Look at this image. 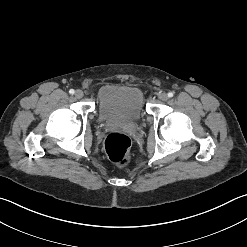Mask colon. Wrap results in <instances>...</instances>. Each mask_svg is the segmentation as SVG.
Wrapping results in <instances>:
<instances>
[{
    "instance_id": "5ec220e1",
    "label": "colon",
    "mask_w": 247,
    "mask_h": 247,
    "mask_svg": "<svg viewBox=\"0 0 247 247\" xmlns=\"http://www.w3.org/2000/svg\"><path fill=\"white\" fill-rule=\"evenodd\" d=\"M108 158L119 166L126 165L131 158V140L122 133H110L105 139Z\"/></svg>"
}]
</instances>
